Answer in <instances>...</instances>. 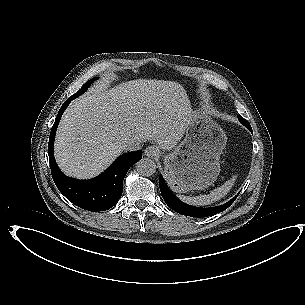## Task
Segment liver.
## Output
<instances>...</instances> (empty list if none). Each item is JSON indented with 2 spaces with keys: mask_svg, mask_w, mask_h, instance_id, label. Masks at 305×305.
<instances>
[{
  "mask_svg": "<svg viewBox=\"0 0 305 305\" xmlns=\"http://www.w3.org/2000/svg\"><path fill=\"white\" fill-rule=\"evenodd\" d=\"M164 87L183 95L176 82ZM147 86L139 80L107 90H94L75 99L59 123L55 159L68 176L89 179L99 175L124 151L123 143L150 140L170 150L183 136L192 110L185 105L154 110L147 100Z\"/></svg>",
  "mask_w": 305,
  "mask_h": 305,
  "instance_id": "6515ba94",
  "label": "liver"
}]
</instances>
